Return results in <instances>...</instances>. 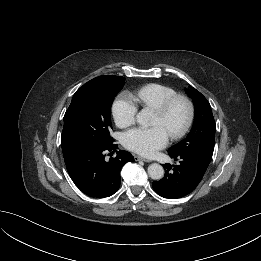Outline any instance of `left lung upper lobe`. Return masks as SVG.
I'll return each instance as SVG.
<instances>
[{
	"label": "left lung upper lobe",
	"instance_id": "obj_1",
	"mask_svg": "<svg viewBox=\"0 0 261 261\" xmlns=\"http://www.w3.org/2000/svg\"><path fill=\"white\" fill-rule=\"evenodd\" d=\"M195 105V119L188 136L168 149L169 155L187 156L208 167L213 151L216 126L207 99L196 89L187 90Z\"/></svg>",
	"mask_w": 261,
	"mask_h": 261
}]
</instances>
